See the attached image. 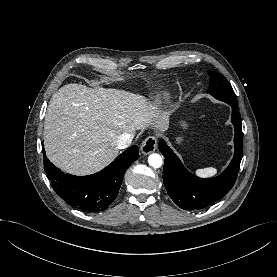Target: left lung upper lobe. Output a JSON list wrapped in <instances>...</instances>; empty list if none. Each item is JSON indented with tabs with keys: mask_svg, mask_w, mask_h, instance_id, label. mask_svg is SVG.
<instances>
[{
	"mask_svg": "<svg viewBox=\"0 0 277 277\" xmlns=\"http://www.w3.org/2000/svg\"><path fill=\"white\" fill-rule=\"evenodd\" d=\"M208 73L210 76V87L208 89V93L216 99L226 102L231 106H237L234 91L224 76L213 71H209Z\"/></svg>",
	"mask_w": 277,
	"mask_h": 277,
	"instance_id": "left-lung-upper-lobe-1",
	"label": "left lung upper lobe"
}]
</instances>
